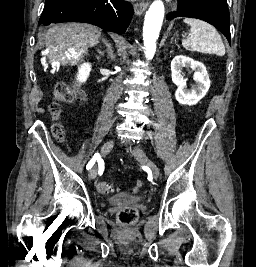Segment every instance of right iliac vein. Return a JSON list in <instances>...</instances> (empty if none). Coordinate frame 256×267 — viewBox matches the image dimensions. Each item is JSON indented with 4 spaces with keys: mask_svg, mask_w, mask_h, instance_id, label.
Instances as JSON below:
<instances>
[{
    "mask_svg": "<svg viewBox=\"0 0 256 267\" xmlns=\"http://www.w3.org/2000/svg\"><path fill=\"white\" fill-rule=\"evenodd\" d=\"M113 145H114V140L111 139V140L106 141L101 148V153L102 154L108 153L113 147ZM96 176H97V167L93 166L89 171V178L95 179Z\"/></svg>",
    "mask_w": 256,
    "mask_h": 267,
    "instance_id": "right-iliac-vein-1",
    "label": "right iliac vein"
}]
</instances>
